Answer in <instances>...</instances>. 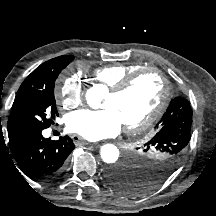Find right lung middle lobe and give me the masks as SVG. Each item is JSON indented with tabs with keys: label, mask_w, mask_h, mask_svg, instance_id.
<instances>
[{
	"label": "right lung middle lobe",
	"mask_w": 216,
	"mask_h": 216,
	"mask_svg": "<svg viewBox=\"0 0 216 216\" xmlns=\"http://www.w3.org/2000/svg\"><path fill=\"white\" fill-rule=\"evenodd\" d=\"M73 57L54 63L49 74L28 86L21 97L13 103L8 120V136L24 130L48 128L58 115L54 97L55 80Z\"/></svg>",
	"instance_id": "right-lung-middle-lobe-1"
}]
</instances>
